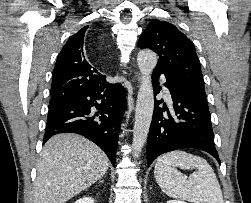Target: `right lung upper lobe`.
Segmentation results:
<instances>
[{
    "label": "right lung upper lobe",
    "mask_w": 251,
    "mask_h": 203,
    "mask_svg": "<svg viewBox=\"0 0 251 203\" xmlns=\"http://www.w3.org/2000/svg\"><path fill=\"white\" fill-rule=\"evenodd\" d=\"M88 27L72 35L59 53L53 71L49 106L66 101L89 86L106 82V76L89 64L84 53V36Z\"/></svg>",
    "instance_id": "cb5924a9"
}]
</instances>
